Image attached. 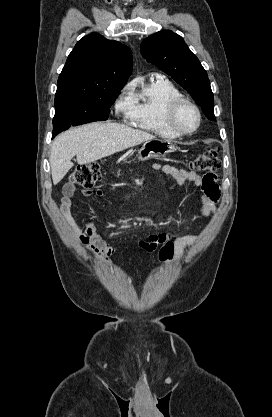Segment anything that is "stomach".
Masks as SVG:
<instances>
[{"mask_svg":"<svg viewBox=\"0 0 272 417\" xmlns=\"http://www.w3.org/2000/svg\"><path fill=\"white\" fill-rule=\"evenodd\" d=\"M175 146L162 139H152L146 141L140 150L138 151L137 158L139 161H147L160 156H164L167 153L174 152Z\"/></svg>","mask_w":272,"mask_h":417,"instance_id":"0dacf381","label":"stomach"}]
</instances>
